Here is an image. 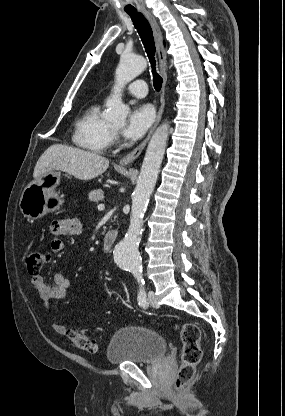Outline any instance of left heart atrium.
I'll return each instance as SVG.
<instances>
[{
  "mask_svg": "<svg viewBox=\"0 0 285 416\" xmlns=\"http://www.w3.org/2000/svg\"><path fill=\"white\" fill-rule=\"evenodd\" d=\"M154 112L149 105L135 106L128 117V120L122 128L123 136L130 141L141 138L153 122Z\"/></svg>",
  "mask_w": 285,
  "mask_h": 416,
  "instance_id": "1",
  "label": "left heart atrium"
}]
</instances>
